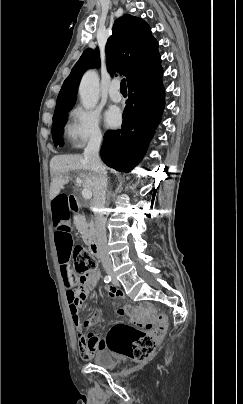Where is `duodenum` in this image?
<instances>
[{
    "label": "duodenum",
    "instance_id": "1",
    "mask_svg": "<svg viewBox=\"0 0 243 404\" xmlns=\"http://www.w3.org/2000/svg\"><path fill=\"white\" fill-rule=\"evenodd\" d=\"M69 206H70V209H71L72 211L77 212V211L79 210V202H78V199H77L76 197H74V196H70V197H69ZM90 250H91V253L93 254V256H94L96 259H100V258H101L100 247H99V244H98V242H97L96 240H92V241L90 242Z\"/></svg>",
    "mask_w": 243,
    "mask_h": 404
}]
</instances>
